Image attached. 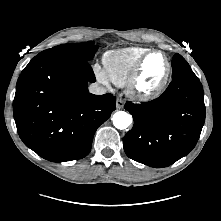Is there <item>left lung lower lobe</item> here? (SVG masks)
Wrapping results in <instances>:
<instances>
[{"mask_svg": "<svg viewBox=\"0 0 221 221\" xmlns=\"http://www.w3.org/2000/svg\"><path fill=\"white\" fill-rule=\"evenodd\" d=\"M202 85L193 72L169 84L157 99L127 102L134 126L124 136L126 155L145 165L162 168L186 156L196 145L205 121Z\"/></svg>", "mask_w": 221, "mask_h": 221, "instance_id": "1", "label": "left lung lower lobe"}]
</instances>
